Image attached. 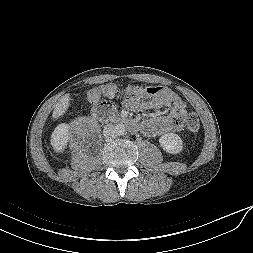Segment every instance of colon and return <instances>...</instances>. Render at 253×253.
I'll use <instances>...</instances> for the list:
<instances>
[{
    "label": "colon",
    "instance_id": "colon-1",
    "mask_svg": "<svg viewBox=\"0 0 253 253\" xmlns=\"http://www.w3.org/2000/svg\"><path fill=\"white\" fill-rule=\"evenodd\" d=\"M165 88L162 86H128L125 90L126 94L130 96H157L164 92ZM118 94V88L114 84H108L104 87L93 88L88 92L89 101L96 102L102 95L107 97H114ZM186 126L191 131H197L200 128L199 117L196 113H190L186 117Z\"/></svg>",
    "mask_w": 253,
    "mask_h": 253
}]
</instances>
